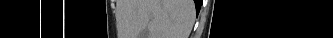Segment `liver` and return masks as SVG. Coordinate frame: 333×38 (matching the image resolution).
I'll return each mask as SVG.
<instances>
[{
    "label": "liver",
    "instance_id": "liver-1",
    "mask_svg": "<svg viewBox=\"0 0 333 38\" xmlns=\"http://www.w3.org/2000/svg\"><path fill=\"white\" fill-rule=\"evenodd\" d=\"M137 34L145 28L149 38H188L193 23L192 0H138Z\"/></svg>",
    "mask_w": 333,
    "mask_h": 38
}]
</instances>
